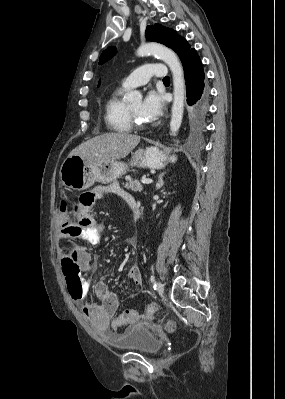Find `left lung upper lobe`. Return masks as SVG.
Instances as JSON below:
<instances>
[{
    "label": "left lung upper lobe",
    "instance_id": "obj_1",
    "mask_svg": "<svg viewBox=\"0 0 285 399\" xmlns=\"http://www.w3.org/2000/svg\"><path fill=\"white\" fill-rule=\"evenodd\" d=\"M145 36L149 41L159 42L171 48L178 54L180 58L186 51L191 49V46L188 44L185 38L179 36L176 31L165 28L160 24L147 26ZM115 52V47L107 48L101 54L99 64H102L103 62H106L112 58Z\"/></svg>",
    "mask_w": 285,
    "mask_h": 399
}]
</instances>
